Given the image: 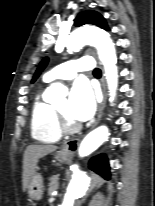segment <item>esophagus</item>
Masks as SVG:
<instances>
[{
    "label": "esophagus",
    "instance_id": "obj_1",
    "mask_svg": "<svg viewBox=\"0 0 155 206\" xmlns=\"http://www.w3.org/2000/svg\"><path fill=\"white\" fill-rule=\"evenodd\" d=\"M101 85H102V101L100 102L97 118H96L93 126H96L99 123V121L101 120V117H102V114H103V110H104V107H105V102H106V83H105L104 74L102 75ZM79 143H80L79 139H72V140H69V141L65 142L62 145L61 149L65 153L72 154V153H74L78 149Z\"/></svg>",
    "mask_w": 155,
    "mask_h": 206
}]
</instances>
